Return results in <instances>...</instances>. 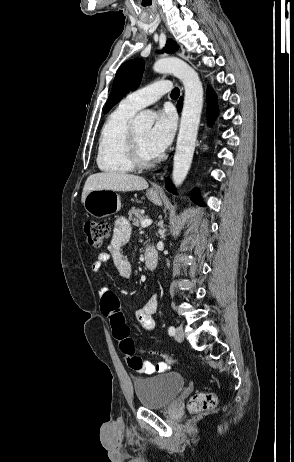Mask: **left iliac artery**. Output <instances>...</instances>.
Listing matches in <instances>:
<instances>
[{
    "instance_id": "obj_1",
    "label": "left iliac artery",
    "mask_w": 294,
    "mask_h": 462,
    "mask_svg": "<svg viewBox=\"0 0 294 462\" xmlns=\"http://www.w3.org/2000/svg\"><path fill=\"white\" fill-rule=\"evenodd\" d=\"M168 333L170 336H173L175 334V328L173 326H170L168 328Z\"/></svg>"
}]
</instances>
